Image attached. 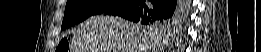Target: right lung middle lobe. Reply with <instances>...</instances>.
<instances>
[{"label": "right lung middle lobe", "mask_w": 261, "mask_h": 52, "mask_svg": "<svg viewBox=\"0 0 261 52\" xmlns=\"http://www.w3.org/2000/svg\"><path fill=\"white\" fill-rule=\"evenodd\" d=\"M122 1L123 0H68L61 30L78 24L92 15L101 14ZM171 23V20L158 22L156 23V27L168 28Z\"/></svg>", "instance_id": "right-lung-middle-lobe-1"}]
</instances>
